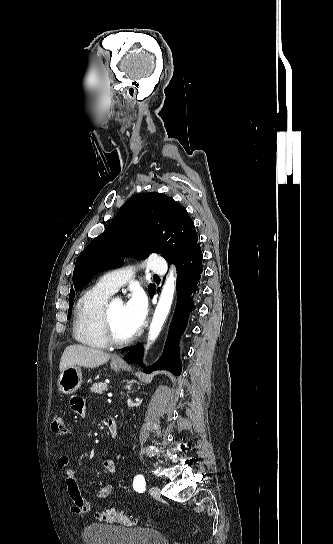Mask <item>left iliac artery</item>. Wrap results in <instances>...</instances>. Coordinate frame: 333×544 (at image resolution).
I'll list each match as a JSON object with an SVG mask.
<instances>
[{
  "instance_id": "1",
  "label": "left iliac artery",
  "mask_w": 333,
  "mask_h": 544,
  "mask_svg": "<svg viewBox=\"0 0 333 544\" xmlns=\"http://www.w3.org/2000/svg\"><path fill=\"white\" fill-rule=\"evenodd\" d=\"M133 488L137 492H143L146 488V481L142 475H137L133 480Z\"/></svg>"
}]
</instances>
